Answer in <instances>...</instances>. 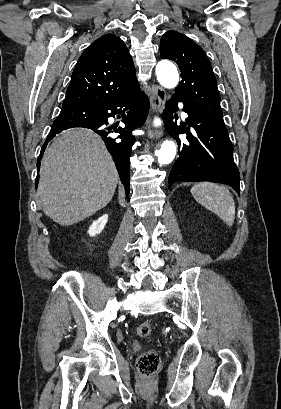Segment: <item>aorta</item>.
Instances as JSON below:
<instances>
[{
	"label": "aorta",
	"mask_w": 281,
	"mask_h": 409,
	"mask_svg": "<svg viewBox=\"0 0 281 409\" xmlns=\"http://www.w3.org/2000/svg\"><path fill=\"white\" fill-rule=\"evenodd\" d=\"M156 75L158 82L165 88H174L179 81V75L176 66L170 61H160L156 66ZM155 155L161 165L169 164L176 155V145L172 140H165L160 149L156 150Z\"/></svg>",
	"instance_id": "1"
}]
</instances>
